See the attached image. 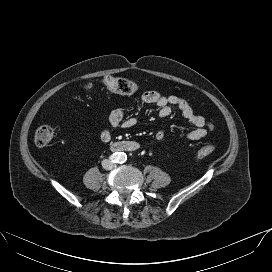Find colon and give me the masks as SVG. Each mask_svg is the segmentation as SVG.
<instances>
[{
	"label": "colon",
	"instance_id": "5ec220e1",
	"mask_svg": "<svg viewBox=\"0 0 272 272\" xmlns=\"http://www.w3.org/2000/svg\"><path fill=\"white\" fill-rule=\"evenodd\" d=\"M101 82L107 89L117 94L129 95L138 90V86L134 81L124 77H114L107 75L102 79ZM91 89L92 84H88L86 86V90L90 91ZM53 137V128L48 125H41L35 132L34 142L37 146H46L52 141ZM215 149L216 147L214 144H207L196 152V158H206L211 155Z\"/></svg>",
	"mask_w": 272,
	"mask_h": 272
}]
</instances>
